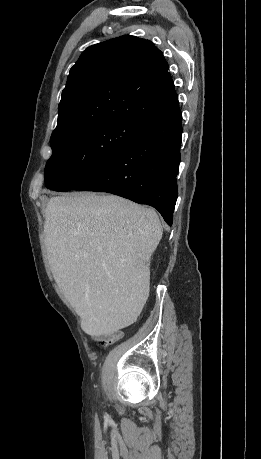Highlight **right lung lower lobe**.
<instances>
[{
	"label": "right lung lower lobe",
	"mask_w": 261,
	"mask_h": 459,
	"mask_svg": "<svg viewBox=\"0 0 261 459\" xmlns=\"http://www.w3.org/2000/svg\"><path fill=\"white\" fill-rule=\"evenodd\" d=\"M181 123L178 106L146 125L118 156L72 190L103 191L153 206L171 226L178 196Z\"/></svg>",
	"instance_id": "right-lung-lower-lobe-1"
}]
</instances>
